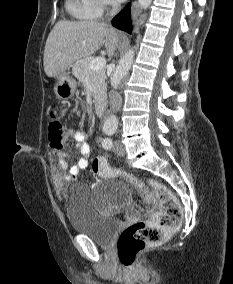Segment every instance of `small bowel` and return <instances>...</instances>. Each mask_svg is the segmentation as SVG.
<instances>
[{
  "instance_id": "c3829d8e",
  "label": "small bowel",
  "mask_w": 233,
  "mask_h": 284,
  "mask_svg": "<svg viewBox=\"0 0 233 284\" xmlns=\"http://www.w3.org/2000/svg\"><path fill=\"white\" fill-rule=\"evenodd\" d=\"M76 141V149L81 154V158L68 170V161L71 155L67 152H59L54 161L53 180L56 186L61 187L65 182L74 181L79 171L88 167V156L90 154V145L87 141V134L80 129L72 128L68 131Z\"/></svg>"
}]
</instances>
